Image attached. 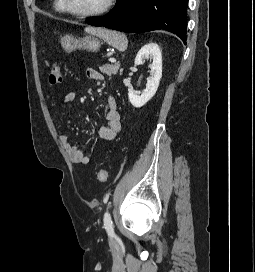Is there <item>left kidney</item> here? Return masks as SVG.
<instances>
[{
	"instance_id": "obj_1",
	"label": "left kidney",
	"mask_w": 255,
	"mask_h": 272,
	"mask_svg": "<svg viewBox=\"0 0 255 272\" xmlns=\"http://www.w3.org/2000/svg\"><path fill=\"white\" fill-rule=\"evenodd\" d=\"M146 58L152 59V63L150 64V77L147 80L145 90L141 95H137L131 89H128L129 101L136 108L144 106L152 99L162 77V55L160 48L156 43L146 44L140 49L134 61L135 65L142 64Z\"/></svg>"
}]
</instances>
